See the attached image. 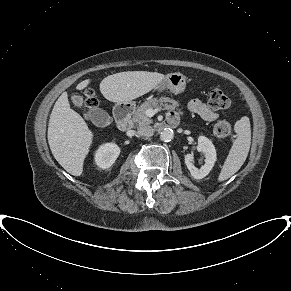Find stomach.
Returning a JSON list of instances; mask_svg holds the SVG:
<instances>
[{
	"label": "stomach",
	"mask_w": 291,
	"mask_h": 291,
	"mask_svg": "<svg viewBox=\"0 0 291 291\" xmlns=\"http://www.w3.org/2000/svg\"><path fill=\"white\" fill-rule=\"evenodd\" d=\"M186 77L180 72L169 73L165 78L154 88V92L161 93L164 90H169L173 94H180L185 90ZM125 104H131L127 102Z\"/></svg>",
	"instance_id": "stomach-1"
}]
</instances>
